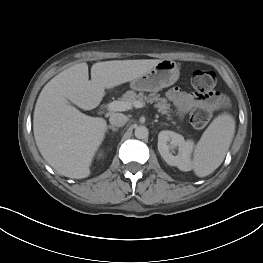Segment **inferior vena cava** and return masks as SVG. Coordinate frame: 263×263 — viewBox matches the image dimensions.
<instances>
[{"instance_id": "602c4592", "label": "inferior vena cava", "mask_w": 263, "mask_h": 263, "mask_svg": "<svg viewBox=\"0 0 263 263\" xmlns=\"http://www.w3.org/2000/svg\"><path fill=\"white\" fill-rule=\"evenodd\" d=\"M110 124L116 127H121L126 124L127 117L122 113H113L109 118Z\"/></svg>"}]
</instances>
